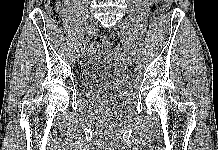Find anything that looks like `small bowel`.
Instances as JSON below:
<instances>
[{
	"instance_id": "c3829d8e",
	"label": "small bowel",
	"mask_w": 218,
	"mask_h": 150,
	"mask_svg": "<svg viewBox=\"0 0 218 150\" xmlns=\"http://www.w3.org/2000/svg\"><path fill=\"white\" fill-rule=\"evenodd\" d=\"M166 7H169L172 3V0H164Z\"/></svg>"
}]
</instances>
